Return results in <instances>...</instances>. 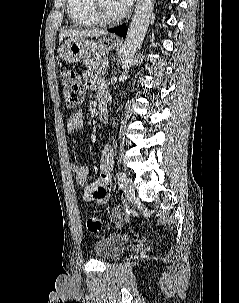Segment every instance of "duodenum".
I'll return each mask as SVG.
<instances>
[{"mask_svg": "<svg viewBox=\"0 0 239 303\" xmlns=\"http://www.w3.org/2000/svg\"><path fill=\"white\" fill-rule=\"evenodd\" d=\"M98 116L102 123H107L109 121V111L105 106H100L98 109Z\"/></svg>", "mask_w": 239, "mask_h": 303, "instance_id": "duodenum-1", "label": "duodenum"}]
</instances>
